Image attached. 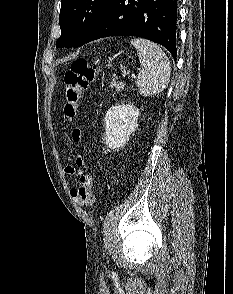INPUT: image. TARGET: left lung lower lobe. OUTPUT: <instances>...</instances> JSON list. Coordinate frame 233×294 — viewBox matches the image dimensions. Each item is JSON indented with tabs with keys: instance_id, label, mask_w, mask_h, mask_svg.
I'll return each mask as SVG.
<instances>
[{
	"instance_id": "left-lung-lower-lobe-1",
	"label": "left lung lower lobe",
	"mask_w": 233,
	"mask_h": 294,
	"mask_svg": "<svg viewBox=\"0 0 233 294\" xmlns=\"http://www.w3.org/2000/svg\"><path fill=\"white\" fill-rule=\"evenodd\" d=\"M177 0H112L85 43L137 36L163 45L176 58Z\"/></svg>"
}]
</instances>
